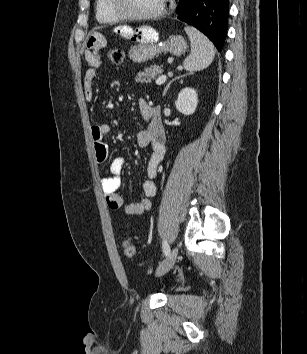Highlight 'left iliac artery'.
<instances>
[{
  "label": "left iliac artery",
  "instance_id": "left-iliac-artery-1",
  "mask_svg": "<svg viewBox=\"0 0 307 354\" xmlns=\"http://www.w3.org/2000/svg\"><path fill=\"white\" fill-rule=\"evenodd\" d=\"M162 249H163V252H164L165 256H168L169 253H170V247H169V244L167 243L166 240H164L162 242Z\"/></svg>",
  "mask_w": 307,
  "mask_h": 354
}]
</instances>
